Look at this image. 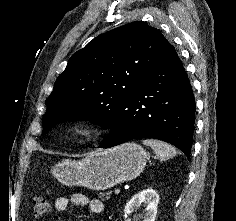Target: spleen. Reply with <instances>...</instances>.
<instances>
[{"instance_id":"obj_1","label":"spleen","mask_w":236,"mask_h":221,"mask_svg":"<svg viewBox=\"0 0 236 221\" xmlns=\"http://www.w3.org/2000/svg\"><path fill=\"white\" fill-rule=\"evenodd\" d=\"M143 144L146 146H150L155 154L159 157L160 161L169 160L177 154L173 146L160 140L145 139L143 140Z\"/></svg>"}]
</instances>
